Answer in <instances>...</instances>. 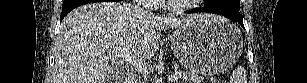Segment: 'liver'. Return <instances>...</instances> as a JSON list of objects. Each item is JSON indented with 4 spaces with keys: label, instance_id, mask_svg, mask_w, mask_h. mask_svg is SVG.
I'll return each mask as SVG.
<instances>
[{
    "label": "liver",
    "instance_id": "1",
    "mask_svg": "<svg viewBox=\"0 0 307 83\" xmlns=\"http://www.w3.org/2000/svg\"><path fill=\"white\" fill-rule=\"evenodd\" d=\"M209 19L221 17L155 16L128 3L79 6L62 20L55 42L52 83H108L109 51L122 49L138 60H147L158 49L159 31Z\"/></svg>",
    "mask_w": 307,
    "mask_h": 83
}]
</instances>
